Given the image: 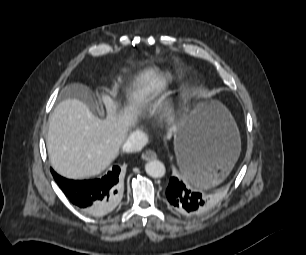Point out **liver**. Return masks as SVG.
<instances>
[{"mask_svg": "<svg viewBox=\"0 0 306 255\" xmlns=\"http://www.w3.org/2000/svg\"><path fill=\"white\" fill-rule=\"evenodd\" d=\"M165 85L151 73H142L133 83L128 104L119 105L110 96L101 100L107 117L100 119L82 100L60 102L49 120L47 150L53 169L70 179L91 177L103 172L118 155L127 133L134 128L146 105L157 97ZM164 94L154 108L161 106ZM175 126L170 128L174 131Z\"/></svg>", "mask_w": 306, "mask_h": 255, "instance_id": "obj_1", "label": "liver"}]
</instances>
